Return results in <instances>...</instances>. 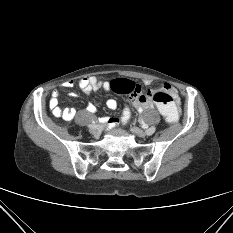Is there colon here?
Masks as SVG:
<instances>
[{
    "label": "colon",
    "instance_id": "obj_1",
    "mask_svg": "<svg viewBox=\"0 0 233 233\" xmlns=\"http://www.w3.org/2000/svg\"><path fill=\"white\" fill-rule=\"evenodd\" d=\"M111 89L118 94H130L132 101H154L165 120L170 124L175 123L178 119V110L173 103V99L163 89L144 90L140 85L127 79L113 80ZM131 114L130 108L125 107L122 113V122L127 123L131 118Z\"/></svg>",
    "mask_w": 233,
    "mask_h": 233
}]
</instances>
